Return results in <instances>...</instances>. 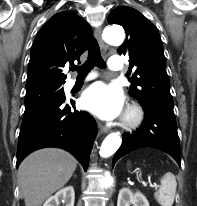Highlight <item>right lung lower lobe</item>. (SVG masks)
Listing matches in <instances>:
<instances>
[{
	"label": "right lung lower lobe",
	"mask_w": 197,
	"mask_h": 206,
	"mask_svg": "<svg viewBox=\"0 0 197 206\" xmlns=\"http://www.w3.org/2000/svg\"><path fill=\"white\" fill-rule=\"evenodd\" d=\"M74 107V101L65 103L63 99L24 113L18 138L17 167L37 149L58 147L73 154L87 170L97 126L89 113L71 112Z\"/></svg>",
	"instance_id": "98d812e1"
}]
</instances>
